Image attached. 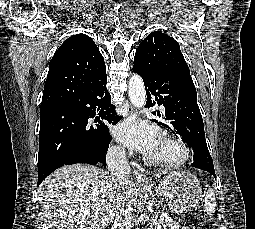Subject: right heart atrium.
Returning a JSON list of instances; mask_svg holds the SVG:
<instances>
[{
	"label": "right heart atrium",
	"mask_w": 255,
	"mask_h": 229,
	"mask_svg": "<svg viewBox=\"0 0 255 229\" xmlns=\"http://www.w3.org/2000/svg\"><path fill=\"white\" fill-rule=\"evenodd\" d=\"M112 151H113L114 153H117V154H119V153L122 152V150H121L120 148H118V147L113 148Z\"/></svg>",
	"instance_id": "obj_1"
}]
</instances>
